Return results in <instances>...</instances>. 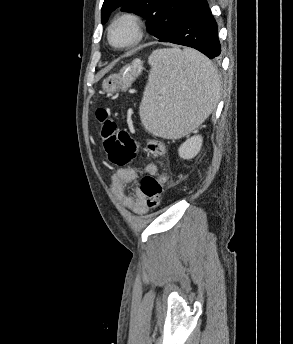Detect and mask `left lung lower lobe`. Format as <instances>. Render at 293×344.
Here are the masks:
<instances>
[{
	"label": "left lung lower lobe",
	"mask_w": 293,
	"mask_h": 344,
	"mask_svg": "<svg viewBox=\"0 0 293 344\" xmlns=\"http://www.w3.org/2000/svg\"><path fill=\"white\" fill-rule=\"evenodd\" d=\"M160 41L192 47L210 59L219 57L218 27L207 0H191L172 30Z\"/></svg>",
	"instance_id": "obj_1"
}]
</instances>
